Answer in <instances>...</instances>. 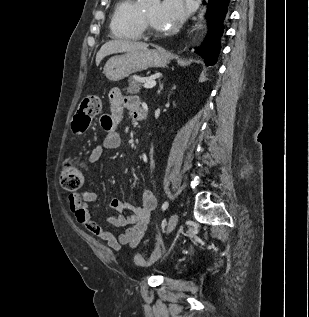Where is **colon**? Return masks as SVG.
I'll return each mask as SVG.
<instances>
[{
  "label": "colon",
  "instance_id": "1",
  "mask_svg": "<svg viewBox=\"0 0 309 317\" xmlns=\"http://www.w3.org/2000/svg\"><path fill=\"white\" fill-rule=\"evenodd\" d=\"M102 103L98 96H87L80 103L72 121L74 132L80 134L88 130L92 120L101 112ZM84 182L83 167L76 158H69L65 161L60 172V184L67 192L78 191ZM139 265L147 263L140 255L135 256Z\"/></svg>",
  "mask_w": 309,
  "mask_h": 317
}]
</instances>
